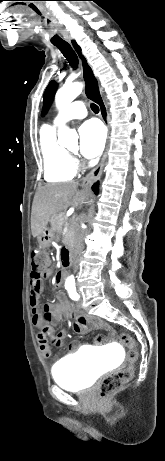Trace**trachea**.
<instances>
[{"label": "trachea", "instance_id": "obj_1", "mask_svg": "<svg viewBox=\"0 0 165 461\" xmlns=\"http://www.w3.org/2000/svg\"><path fill=\"white\" fill-rule=\"evenodd\" d=\"M54 45L61 51V53L64 55V57L69 62V64L73 68H76L78 65V57L76 53L74 52V50L72 49V47L70 46V44L67 42H64V43H59V44H54ZM85 75H86V79L90 82L87 96L93 101H95L96 103H102V98L100 96L98 87L96 85L95 77L93 75L91 68L88 65H87V71ZM91 109L94 113L99 112V107L96 104H92Z\"/></svg>", "mask_w": 165, "mask_h": 461}]
</instances>
